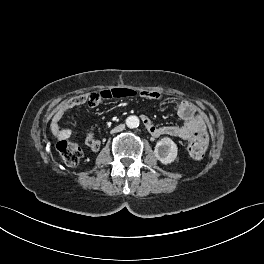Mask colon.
<instances>
[{
	"mask_svg": "<svg viewBox=\"0 0 264 264\" xmlns=\"http://www.w3.org/2000/svg\"><path fill=\"white\" fill-rule=\"evenodd\" d=\"M133 92L126 89L106 90L101 92H93L88 95V101L91 104L99 103L102 99H110L114 97H125L132 95ZM208 144V136L205 130L200 129L187 141V151L194 158H200L205 153ZM56 149L63 161L70 166L76 165L81 157V148L72 142L61 140L57 143Z\"/></svg>",
	"mask_w": 264,
	"mask_h": 264,
	"instance_id": "5ec220e1",
	"label": "colon"
}]
</instances>
